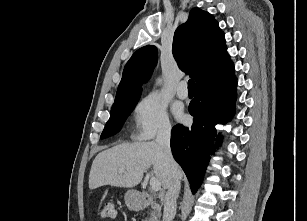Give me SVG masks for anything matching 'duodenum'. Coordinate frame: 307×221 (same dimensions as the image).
Returning a JSON list of instances; mask_svg holds the SVG:
<instances>
[{"label":"duodenum","instance_id":"duodenum-1","mask_svg":"<svg viewBox=\"0 0 307 221\" xmlns=\"http://www.w3.org/2000/svg\"><path fill=\"white\" fill-rule=\"evenodd\" d=\"M133 203L134 208L139 210L150 205L152 203V199L149 196L141 193L133 198Z\"/></svg>","mask_w":307,"mask_h":221}]
</instances>
